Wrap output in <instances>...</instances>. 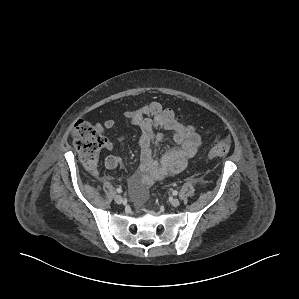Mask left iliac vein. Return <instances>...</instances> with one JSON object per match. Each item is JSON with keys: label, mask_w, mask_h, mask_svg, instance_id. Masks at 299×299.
Wrapping results in <instances>:
<instances>
[{"label": "left iliac vein", "mask_w": 299, "mask_h": 299, "mask_svg": "<svg viewBox=\"0 0 299 299\" xmlns=\"http://www.w3.org/2000/svg\"><path fill=\"white\" fill-rule=\"evenodd\" d=\"M171 204H172V206L177 207V206H179L180 201H179V199H177V198H173V199L171 200Z\"/></svg>", "instance_id": "left-iliac-vein-1"}]
</instances>
